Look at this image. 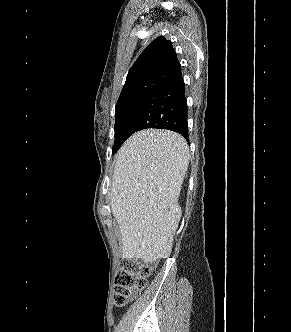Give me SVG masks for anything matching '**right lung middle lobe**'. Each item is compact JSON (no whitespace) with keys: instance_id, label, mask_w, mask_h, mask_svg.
Segmentation results:
<instances>
[{"instance_id":"right-lung-middle-lobe-1","label":"right lung middle lobe","mask_w":291,"mask_h":332,"mask_svg":"<svg viewBox=\"0 0 291 332\" xmlns=\"http://www.w3.org/2000/svg\"><path fill=\"white\" fill-rule=\"evenodd\" d=\"M147 92L137 93L123 99H120L116 103L115 107V142L113 145L112 153H115L122 143L127 139L124 134L125 126L131 117V114L135 107L140 103Z\"/></svg>"}]
</instances>
